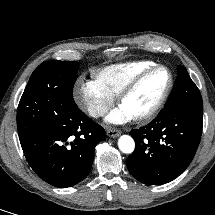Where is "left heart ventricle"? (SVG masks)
<instances>
[{
    "mask_svg": "<svg viewBox=\"0 0 215 215\" xmlns=\"http://www.w3.org/2000/svg\"><path fill=\"white\" fill-rule=\"evenodd\" d=\"M167 81L166 71H154L123 101L122 106L132 117L148 111L163 92Z\"/></svg>",
    "mask_w": 215,
    "mask_h": 215,
    "instance_id": "1",
    "label": "left heart ventricle"
}]
</instances>
